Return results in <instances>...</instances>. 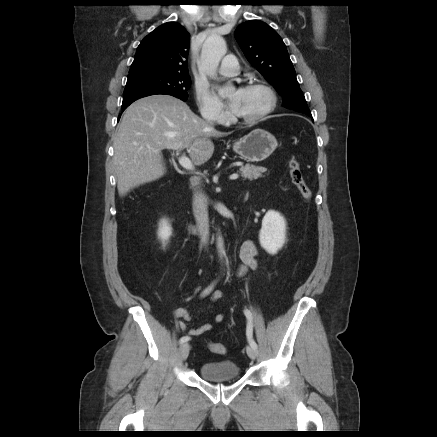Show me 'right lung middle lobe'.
Returning a JSON list of instances; mask_svg holds the SVG:
<instances>
[{"instance_id": "dd1d6c3e", "label": "right lung middle lobe", "mask_w": 437, "mask_h": 437, "mask_svg": "<svg viewBox=\"0 0 437 437\" xmlns=\"http://www.w3.org/2000/svg\"><path fill=\"white\" fill-rule=\"evenodd\" d=\"M191 86L189 75L172 74L159 71H133L129 72L124 90L123 106L142 97L166 94L177 97L183 101L188 98Z\"/></svg>"}]
</instances>
